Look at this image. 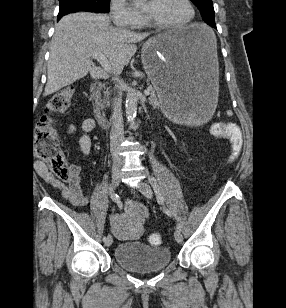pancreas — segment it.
I'll use <instances>...</instances> for the list:
<instances>
[{
    "instance_id": "pancreas-1",
    "label": "pancreas",
    "mask_w": 286,
    "mask_h": 308,
    "mask_svg": "<svg viewBox=\"0 0 286 308\" xmlns=\"http://www.w3.org/2000/svg\"><path fill=\"white\" fill-rule=\"evenodd\" d=\"M150 90H151V92H150V102H151V104L153 105V107L160 106L161 105L160 100L158 98V95H157L155 88L150 87ZM109 94L110 93L108 91L105 92V96H108ZM103 104H107V105L109 104V101H108L107 98L103 100V102L101 103V106H103Z\"/></svg>"
}]
</instances>
